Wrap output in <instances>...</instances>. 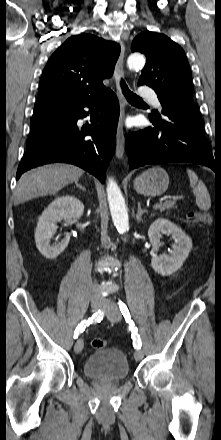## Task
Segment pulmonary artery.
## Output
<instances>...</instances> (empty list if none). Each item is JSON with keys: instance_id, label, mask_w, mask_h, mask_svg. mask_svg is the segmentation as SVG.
<instances>
[{"instance_id": "1", "label": "pulmonary artery", "mask_w": 221, "mask_h": 440, "mask_svg": "<svg viewBox=\"0 0 221 440\" xmlns=\"http://www.w3.org/2000/svg\"><path fill=\"white\" fill-rule=\"evenodd\" d=\"M140 96L142 98L150 100L156 107H160L161 104L159 102V99L156 95V92L153 89L150 88H141L140 89Z\"/></svg>"}]
</instances>
